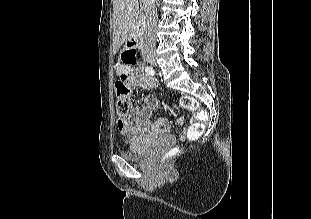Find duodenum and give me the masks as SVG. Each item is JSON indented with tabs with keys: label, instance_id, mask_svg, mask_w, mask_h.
I'll use <instances>...</instances> for the list:
<instances>
[{
	"label": "duodenum",
	"instance_id": "duodenum-1",
	"mask_svg": "<svg viewBox=\"0 0 311 219\" xmlns=\"http://www.w3.org/2000/svg\"><path fill=\"white\" fill-rule=\"evenodd\" d=\"M141 40H142V26L135 30L131 37L127 41V49L133 55L138 54L137 50H141Z\"/></svg>",
	"mask_w": 311,
	"mask_h": 219
}]
</instances>
